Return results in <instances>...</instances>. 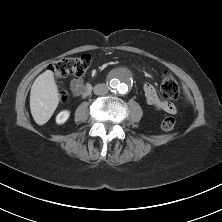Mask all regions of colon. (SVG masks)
<instances>
[{
  "instance_id": "obj_1",
  "label": "colon",
  "mask_w": 222,
  "mask_h": 222,
  "mask_svg": "<svg viewBox=\"0 0 222 222\" xmlns=\"http://www.w3.org/2000/svg\"><path fill=\"white\" fill-rule=\"evenodd\" d=\"M92 63L91 56L83 54L78 57H66L54 61L50 64L49 69L57 78H65L70 75L83 76ZM161 92L167 99H176L180 94V87L173 75L165 73L162 77ZM65 92H60V99L65 100ZM176 120L172 116L164 118L162 128L171 130L175 127Z\"/></svg>"
}]
</instances>
